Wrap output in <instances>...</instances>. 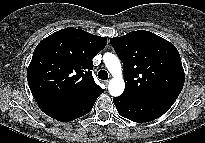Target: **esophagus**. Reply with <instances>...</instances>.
Returning <instances> with one entry per match:
<instances>
[{
    "label": "esophagus",
    "instance_id": "1",
    "mask_svg": "<svg viewBox=\"0 0 205 143\" xmlns=\"http://www.w3.org/2000/svg\"><path fill=\"white\" fill-rule=\"evenodd\" d=\"M103 83L107 86L109 83V80H105Z\"/></svg>",
    "mask_w": 205,
    "mask_h": 143
}]
</instances>
